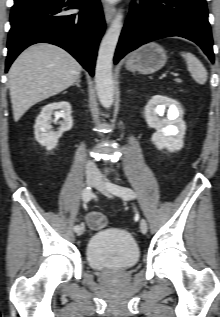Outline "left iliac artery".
<instances>
[{"mask_svg":"<svg viewBox=\"0 0 220 317\" xmlns=\"http://www.w3.org/2000/svg\"><path fill=\"white\" fill-rule=\"evenodd\" d=\"M110 189L113 194L122 197L125 200L136 198L135 192L127 187H122L116 184H110Z\"/></svg>","mask_w":220,"mask_h":317,"instance_id":"left-iliac-artery-1","label":"left iliac artery"}]
</instances>
